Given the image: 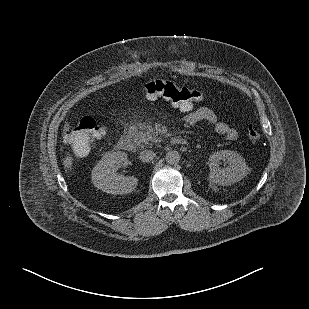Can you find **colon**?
Wrapping results in <instances>:
<instances>
[{"instance_id": "1", "label": "colon", "mask_w": 309, "mask_h": 309, "mask_svg": "<svg viewBox=\"0 0 309 309\" xmlns=\"http://www.w3.org/2000/svg\"><path fill=\"white\" fill-rule=\"evenodd\" d=\"M143 91L148 98L163 97L172 103H181L188 106L201 101L203 98L201 91L195 87L177 86L174 83L163 80H154L146 83ZM72 133L74 135L75 151L82 155L88 152L89 144L95 142L105 133V127L92 118H83L77 127L72 130ZM247 134L254 141L260 138L259 130L254 124L247 126Z\"/></svg>"}]
</instances>
